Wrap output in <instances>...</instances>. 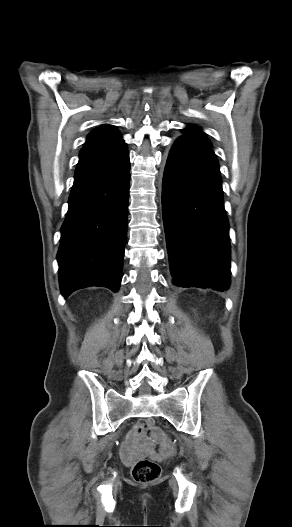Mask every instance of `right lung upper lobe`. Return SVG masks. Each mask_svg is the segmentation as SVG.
Wrapping results in <instances>:
<instances>
[{
    "label": "right lung upper lobe",
    "mask_w": 292,
    "mask_h": 527,
    "mask_svg": "<svg viewBox=\"0 0 292 527\" xmlns=\"http://www.w3.org/2000/svg\"><path fill=\"white\" fill-rule=\"evenodd\" d=\"M120 141H122V136L116 128L104 124L88 135L84 146L113 145Z\"/></svg>",
    "instance_id": "obj_1"
}]
</instances>
